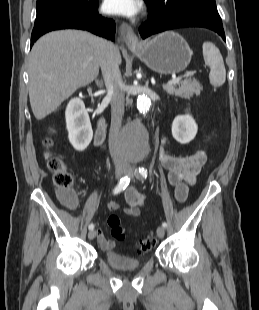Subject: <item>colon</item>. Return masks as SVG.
<instances>
[{
  "label": "colon",
  "instance_id": "5ec220e1",
  "mask_svg": "<svg viewBox=\"0 0 259 310\" xmlns=\"http://www.w3.org/2000/svg\"><path fill=\"white\" fill-rule=\"evenodd\" d=\"M45 146L49 147L51 141L45 139ZM48 168L54 173V183L59 188L64 202L69 206H74L77 202L76 195L71 191L73 179L71 174L65 169L63 161L50 154L46 155ZM107 224L111 230V235L116 240H123L125 238V229L121 225L118 215L110 214L107 218ZM156 239L153 235H149L140 241L138 252L146 254L154 247Z\"/></svg>",
  "mask_w": 259,
  "mask_h": 310
}]
</instances>
